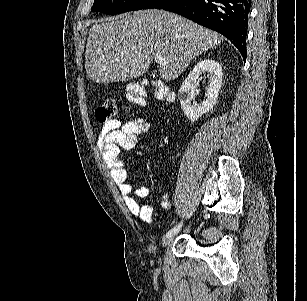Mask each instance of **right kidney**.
<instances>
[{
  "mask_svg": "<svg viewBox=\"0 0 307 301\" xmlns=\"http://www.w3.org/2000/svg\"><path fill=\"white\" fill-rule=\"evenodd\" d=\"M204 72H209L208 74V86H207V98L203 100L201 106L200 104H194L192 102L195 94V90L199 84L198 80ZM222 68L221 64L217 60H212V58H203L198 64H195L192 68L190 74L186 76L184 82L181 84V88L177 94L181 108L185 112L189 120H198L202 114L212 110L215 106L219 94V90L222 86Z\"/></svg>",
  "mask_w": 307,
  "mask_h": 301,
  "instance_id": "obj_1",
  "label": "right kidney"
}]
</instances>
